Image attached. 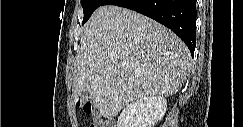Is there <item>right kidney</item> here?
<instances>
[{
    "label": "right kidney",
    "instance_id": "1",
    "mask_svg": "<svg viewBox=\"0 0 243 127\" xmlns=\"http://www.w3.org/2000/svg\"><path fill=\"white\" fill-rule=\"evenodd\" d=\"M167 110L162 96L145 97L127 104L122 110L117 127H153Z\"/></svg>",
    "mask_w": 243,
    "mask_h": 127
}]
</instances>
